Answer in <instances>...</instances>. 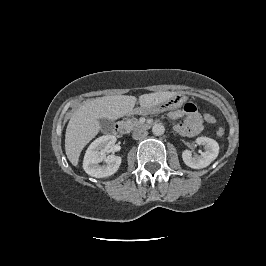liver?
I'll return each mask as SVG.
<instances>
[{
    "instance_id": "1",
    "label": "liver",
    "mask_w": 266,
    "mask_h": 266,
    "mask_svg": "<svg viewBox=\"0 0 266 266\" xmlns=\"http://www.w3.org/2000/svg\"><path fill=\"white\" fill-rule=\"evenodd\" d=\"M176 92H155L139 97L141 108L162 103ZM137 98L129 95L104 96L87 100L71 116L65 134V152L72 165L77 166L83 148L101 129L99 119L116 120L131 114Z\"/></svg>"
}]
</instances>
